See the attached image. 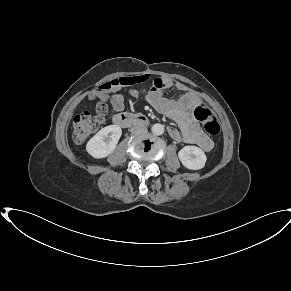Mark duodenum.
Segmentation results:
<instances>
[{
  "label": "duodenum",
  "mask_w": 291,
  "mask_h": 291,
  "mask_svg": "<svg viewBox=\"0 0 291 291\" xmlns=\"http://www.w3.org/2000/svg\"><path fill=\"white\" fill-rule=\"evenodd\" d=\"M113 122L122 128L147 126L149 123L148 118L145 115L131 113H118L114 115Z\"/></svg>",
  "instance_id": "obj_1"
}]
</instances>
